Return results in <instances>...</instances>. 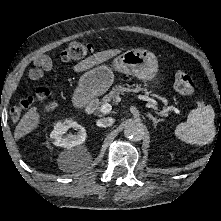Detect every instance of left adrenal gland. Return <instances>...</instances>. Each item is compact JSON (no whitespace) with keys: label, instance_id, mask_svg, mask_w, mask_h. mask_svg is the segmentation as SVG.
Wrapping results in <instances>:
<instances>
[{"label":"left adrenal gland","instance_id":"left-adrenal-gland-1","mask_svg":"<svg viewBox=\"0 0 221 221\" xmlns=\"http://www.w3.org/2000/svg\"><path fill=\"white\" fill-rule=\"evenodd\" d=\"M147 117H149V119H151V120L153 121L154 127H156L157 124L162 121V119H157V118H155L154 116H152L151 113H148V114H147Z\"/></svg>","mask_w":221,"mask_h":221}]
</instances>
